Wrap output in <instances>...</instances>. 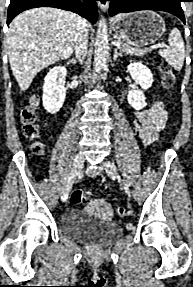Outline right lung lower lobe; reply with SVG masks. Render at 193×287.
<instances>
[{
    "mask_svg": "<svg viewBox=\"0 0 193 287\" xmlns=\"http://www.w3.org/2000/svg\"><path fill=\"white\" fill-rule=\"evenodd\" d=\"M98 0H10L7 14V24L19 13L36 7H55L69 10L88 19L91 23L97 20Z\"/></svg>",
    "mask_w": 193,
    "mask_h": 287,
    "instance_id": "right-lung-lower-lobe-1",
    "label": "right lung lower lobe"
}]
</instances>
